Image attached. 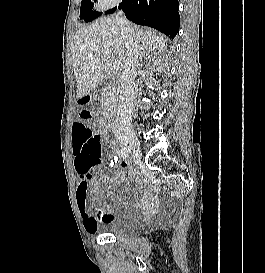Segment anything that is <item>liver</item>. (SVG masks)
<instances>
[{
  "label": "liver",
  "mask_w": 265,
  "mask_h": 273,
  "mask_svg": "<svg viewBox=\"0 0 265 273\" xmlns=\"http://www.w3.org/2000/svg\"><path fill=\"white\" fill-rule=\"evenodd\" d=\"M132 26V25H131ZM142 54L164 52L166 38L151 29L132 26ZM72 62L77 83V99L92 92L105 80L114 59L125 65L127 48L113 17H102L83 26L72 38Z\"/></svg>",
  "instance_id": "liver-1"
}]
</instances>
